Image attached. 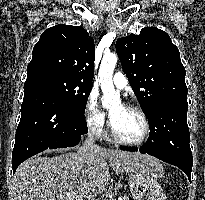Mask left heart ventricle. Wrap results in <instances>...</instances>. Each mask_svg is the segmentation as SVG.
Here are the masks:
<instances>
[{
	"label": "left heart ventricle",
	"instance_id": "left-heart-ventricle-1",
	"mask_svg": "<svg viewBox=\"0 0 205 200\" xmlns=\"http://www.w3.org/2000/svg\"><path fill=\"white\" fill-rule=\"evenodd\" d=\"M110 115L113 127L121 137L127 140H137L141 137L144 124L136 112L118 104L110 110Z\"/></svg>",
	"mask_w": 205,
	"mask_h": 200
}]
</instances>
